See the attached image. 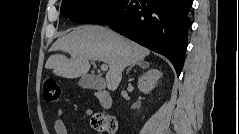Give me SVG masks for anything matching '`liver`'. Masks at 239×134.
Returning <instances> with one entry per match:
<instances>
[{
	"instance_id": "1",
	"label": "liver",
	"mask_w": 239,
	"mask_h": 134,
	"mask_svg": "<svg viewBox=\"0 0 239 134\" xmlns=\"http://www.w3.org/2000/svg\"><path fill=\"white\" fill-rule=\"evenodd\" d=\"M70 54L52 55L45 67L63 78L72 79L85 76L90 69V60L102 61L109 65L106 74L107 88H118L122 72L127 66L144 60L150 51L103 26L83 25L60 37L52 46V51Z\"/></svg>"
}]
</instances>
